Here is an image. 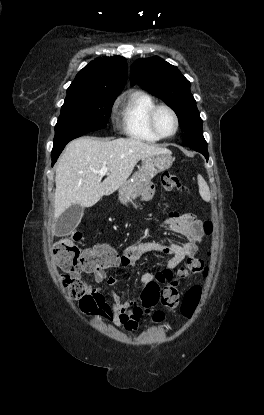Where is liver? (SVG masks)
I'll use <instances>...</instances> for the list:
<instances>
[{
  "label": "liver",
  "mask_w": 264,
  "mask_h": 415,
  "mask_svg": "<svg viewBox=\"0 0 264 415\" xmlns=\"http://www.w3.org/2000/svg\"><path fill=\"white\" fill-rule=\"evenodd\" d=\"M162 153L169 150L130 138L104 141L81 137L71 141L56 167L54 219L72 204L92 207L102 196L119 189L140 159ZM103 167L109 172L101 182L102 176L97 172Z\"/></svg>",
  "instance_id": "6515ba94"
}]
</instances>
